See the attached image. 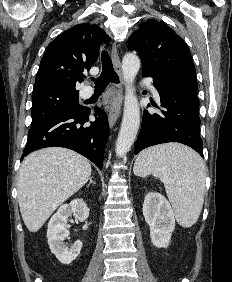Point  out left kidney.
I'll return each instance as SVG.
<instances>
[{"instance_id": "1", "label": "left kidney", "mask_w": 232, "mask_h": 282, "mask_svg": "<svg viewBox=\"0 0 232 282\" xmlns=\"http://www.w3.org/2000/svg\"><path fill=\"white\" fill-rule=\"evenodd\" d=\"M143 215L150 227V238L154 246L167 248L175 229V218L166 198L157 192L145 196Z\"/></svg>"}]
</instances>
